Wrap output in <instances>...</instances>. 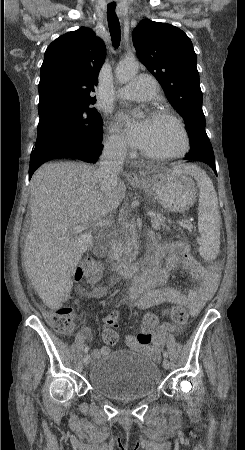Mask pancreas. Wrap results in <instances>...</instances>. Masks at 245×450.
<instances>
[{"mask_svg":"<svg viewBox=\"0 0 245 450\" xmlns=\"http://www.w3.org/2000/svg\"><path fill=\"white\" fill-rule=\"evenodd\" d=\"M187 222V221H182ZM152 227L155 230H170V227L165 224V218L161 215H156L151 220ZM137 235L134 227H126L122 230V238L119 239L115 250V258L118 261L132 260L137 255Z\"/></svg>","mask_w":245,"mask_h":450,"instance_id":"1","label":"pancreas"}]
</instances>
